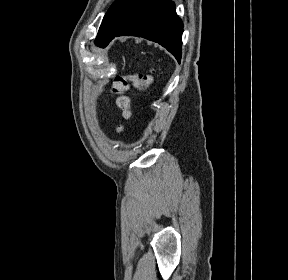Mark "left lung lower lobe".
I'll return each instance as SVG.
<instances>
[{"label": "left lung lower lobe", "mask_w": 288, "mask_h": 280, "mask_svg": "<svg viewBox=\"0 0 288 280\" xmlns=\"http://www.w3.org/2000/svg\"><path fill=\"white\" fill-rule=\"evenodd\" d=\"M183 22L170 0H145L124 21L112 38L137 36L159 43L180 63Z\"/></svg>", "instance_id": "obj_1"}]
</instances>
